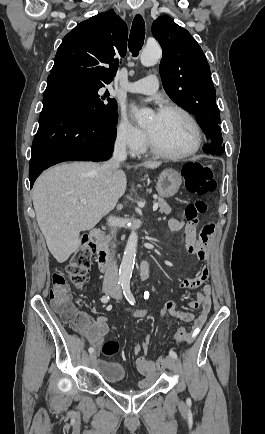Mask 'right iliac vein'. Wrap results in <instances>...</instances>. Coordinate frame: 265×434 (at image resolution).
<instances>
[{
    "instance_id": "1",
    "label": "right iliac vein",
    "mask_w": 265,
    "mask_h": 434,
    "mask_svg": "<svg viewBox=\"0 0 265 434\" xmlns=\"http://www.w3.org/2000/svg\"><path fill=\"white\" fill-rule=\"evenodd\" d=\"M103 291L106 294H110V293H112L114 291V288L111 287V286H104ZM88 358H89V363L92 364L94 362V360L96 359V354L92 353V354L89 355Z\"/></svg>"
}]
</instances>
